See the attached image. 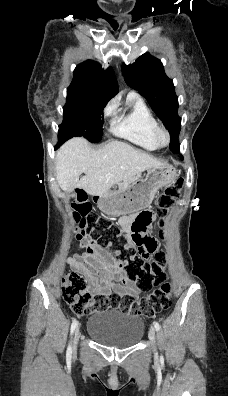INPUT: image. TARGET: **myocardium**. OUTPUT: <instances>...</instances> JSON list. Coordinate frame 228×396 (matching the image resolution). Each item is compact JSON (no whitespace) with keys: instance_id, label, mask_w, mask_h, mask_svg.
I'll return each mask as SVG.
<instances>
[{"instance_id":"1","label":"myocardium","mask_w":228,"mask_h":396,"mask_svg":"<svg viewBox=\"0 0 228 396\" xmlns=\"http://www.w3.org/2000/svg\"><path fill=\"white\" fill-rule=\"evenodd\" d=\"M163 136L165 141L161 142L160 137ZM152 138L155 143V145L159 148L165 147L169 145L170 143V134L168 130L162 126V125H157L153 130H152Z\"/></svg>"}]
</instances>
